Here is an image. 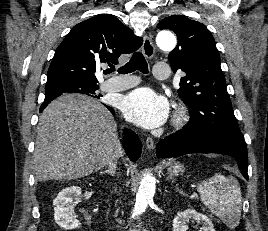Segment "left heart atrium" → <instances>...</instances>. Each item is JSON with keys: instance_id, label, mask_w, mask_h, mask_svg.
<instances>
[{"instance_id": "1", "label": "left heart atrium", "mask_w": 268, "mask_h": 231, "mask_svg": "<svg viewBox=\"0 0 268 231\" xmlns=\"http://www.w3.org/2000/svg\"><path fill=\"white\" fill-rule=\"evenodd\" d=\"M125 118L145 128L162 125L169 113L167 100L150 88H139L129 93L123 101Z\"/></svg>"}]
</instances>
